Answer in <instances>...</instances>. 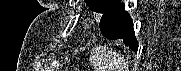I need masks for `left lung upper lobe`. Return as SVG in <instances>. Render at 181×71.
Instances as JSON below:
<instances>
[{
  "label": "left lung upper lobe",
  "instance_id": "1",
  "mask_svg": "<svg viewBox=\"0 0 181 71\" xmlns=\"http://www.w3.org/2000/svg\"><path fill=\"white\" fill-rule=\"evenodd\" d=\"M85 2L91 10L104 14L115 6L118 0H85Z\"/></svg>",
  "mask_w": 181,
  "mask_h": 71
}]
</instances>
